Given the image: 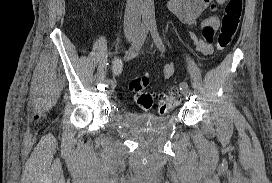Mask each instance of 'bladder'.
Here are the masks:
<instances>
[{"label": "bladder", "instance_id": "bladder-1", "mask_svg": "<svg viewBox=\"0 0 272 183\" xmlns=\"http://www.w3.org/2000/svg\"><path fill=\"white\" fill-rule=\"evenodd\" d=\"M124 120L128 128L146 133H158L170 125L169 116L125 111Z\"/></svg>", "mask_w": 272, "mask_h": 183}]
</instances>
